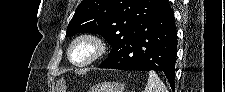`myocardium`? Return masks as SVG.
<instances>
[{
  "instance_id": "obj_1",
  "label": "myocardium",
  "mask_w": 225,
  "mask_h": 92,
  "mask_svg": "<svg viewBox=\"0 0 225 92\" xmlns=\"http://www.w3.org/2000/svg\"><path fill=\"white\" fill-rule=\"evenodd\" d=\"M79 43H87L93 48V52L90 57L83 61H76L73 59L72 52L74 47ZM106 51L105 41L98 35L93 33H84L77 36L69 45L67 49V57L69 62L75 67H86L96 62L101 58Z\"/></svg>"
}]
</instances>
